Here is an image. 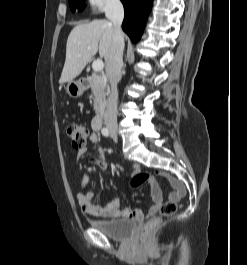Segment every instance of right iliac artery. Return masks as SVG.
Instances as JSON below:
<instances>
[{"instance_id":"1","label":"right iliac artery","mask_w":247,"mask_h":265,"mask_svg":"<svg viewBox=\"0 0 247 265\" xmlns=\"http://www.w3.org/2000/svg\"><path fill=\"white\" fill-rule=\"evenodd\" d=\"M102 134H103L104 136H109V135H110V132H109V130H108L107 128H103V129H102Z\"/></svg>"}]
</instances>
